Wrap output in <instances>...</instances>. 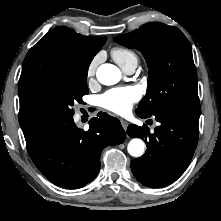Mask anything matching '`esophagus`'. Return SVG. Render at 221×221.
Returning a JSON list of instances; mask_svg holds the SVG:
<instances>
[{
  "instance_id": "34e87169",
  "label": "esophagus",
  "mask_w": 221,
  "mask_h": 221,
  "mask_svg": "<svg viewBox=\"0 0 221 221\" xmlns=\"http://www.w3.org/2000/svg\"><path fill=\"white\" fill-rule=\"evenodd\" d=\"M121 125L124 128V130H127V127H128V122L127 121L121 120Z\"/></svg>"
}]
</instances>
